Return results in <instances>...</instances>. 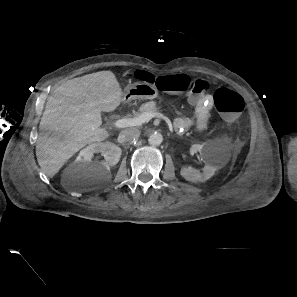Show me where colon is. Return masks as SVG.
Listing matches in <instances>:
<instances>
[{
    "mask_svg": "<svg viewBox=\"0 0 297 297\" xmlns=\"http://www.w3.org/2000/svg\"><path fill=\"white\" fill-rule=\"evenodd\" d=\"M135 77L154 84L160 91L172 94L187 93L192 99L205 96L210 89L208 81L191 79L186 75L155 77L148 72L139 71L135 73ZM213 101L216 109L222 114L228 124L239 122L245 104L243 98L238 93L222 87L214 93Z\"/></svg>",
    "mask_w": 297,
    "mask_h": 297,
    "instance_id": "1",
    "label": "colon"
}]
</instances>
